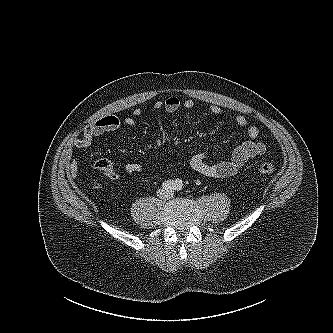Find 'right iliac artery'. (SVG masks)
<instances>
[{
	"instance_id": "obj_1",
	"label": "right iliac artery",
	"mask_w": 333,
	"mask_h": 333,
	"mask_svg": "<svg viewBox=\"0 0 333 333\" xmlns=\"http://www.w3.org/2000/svg\"><path fill=\"white\" fill-rule=\"evenodd\" d=\"M174 186H175V182L171 181V180H167L162 183V187L166 190H172V189H174Z\"/></svg>"
}]
</instances>
